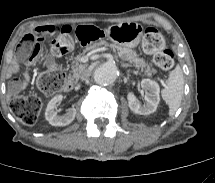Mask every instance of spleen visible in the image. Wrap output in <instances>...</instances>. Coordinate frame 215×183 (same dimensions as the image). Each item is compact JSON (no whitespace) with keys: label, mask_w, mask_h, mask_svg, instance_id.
<instances>
[{"label":"spleen","mask_w":215,"mask_h":183,"mask_svg":"<svg viewBox=\"0 0 215 183\" xmlns=\"http://www.w3.org/2000/svg\"><path fill=\"white\" fill-rule=\"evenodd\" d=\"M184 91V78L180 66L169 74L167 86L161 91L163 100L169 106V114L174 115L181 105Z\"/></svg>","instance_id":"3e777b00"}]
</instances>
